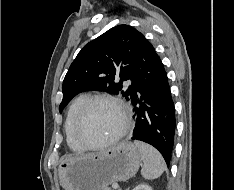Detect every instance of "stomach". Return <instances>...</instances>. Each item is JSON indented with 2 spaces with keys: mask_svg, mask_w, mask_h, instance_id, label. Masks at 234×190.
<instances>
[{
  "mask_svg": "<svg viewBox=\"0 0 234 190\" xmlns=\"http://www.w3.org/2000/svg\"><path fill=\"white\" fill-rule=\"evenodd\" d=\"M141 153L130 141H122L99 154L63 160L58 169L65 190H105L113 182L133 177L141 164Z\"/></svg>",
  "mask_w": 234,
  "mask_h": 190,
  "instance_id": "1",
  "label": "stomach"
}]
</instances>
